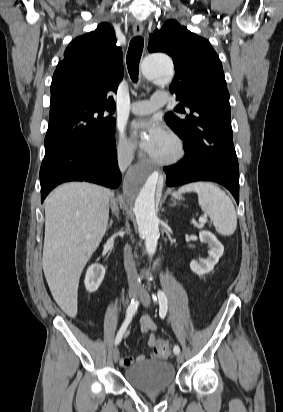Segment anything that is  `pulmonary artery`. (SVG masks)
Returning a JSON list of instances; mask_svg holds the SVG:
<instances>
[{
  "label": "pulmonary artery",
  "instance_id": "1",
  "mask_svg": "<svg viewBox=\"0 0 283 412\" xmlns=\"http://www.w3.org/2000/svg\"><path fill=\"white\" fill-rule=\"evenodd\" d=\"M168 102L167 93L154 94L150 100L135 101L131 104V111L134 114L146 115L154 110L166 105Z\"/></svg>",
  "mask_w": 283,
  "mask_h": 412
}]
</instances>
